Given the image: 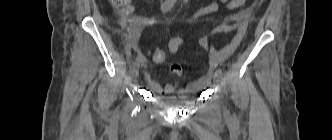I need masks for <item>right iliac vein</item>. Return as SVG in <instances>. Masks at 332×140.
Masks as SVG:
<instances>
[{
  "label": "right iliac vein",
  "instance_id": "63e3f726",
  "mask_svg": "<svg viewBox=\"0 0 332 140\" xmlns=\"http://www.w3.org/2000/svg\"><path fill=\"white\" fill-rule=\"evenodd\" d=\"M139 66H140V62L135 63V65L133 66V70H132V75L133 76L137 74Z\"/></svg>",
  "mask_w": 332,
  "mask_h": 140
}]
</instances>
